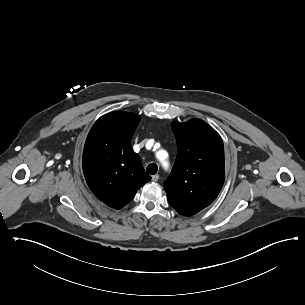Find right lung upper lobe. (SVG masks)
<instances>
[{
    "instance_id": "cb5924a9",
    "label": "right lung upper lobe",
    "mask_w": 305,
    "mask_h": 305,
    "mask_svg": "<svg viewBox=\"0 0 305 305\" xmlns=\"http://www.w3.org/2000/svg\"><path fill=\"white\" fill-rule=\"evenodd\" d=\"M140 117L115 111L100 117L91 128L83 152V171L92 192L106 205L120 209L151 177L131 148Z\"/></svg>"
}]
</instances>
